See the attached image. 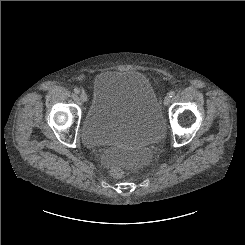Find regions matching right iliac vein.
Masks as SVG:
<instances>
[{
	"instance_id": "63e3f726",
	"label": "right iliac vein",
	"mask_w": 245,
	"mask_h": 245,
	"mask_svg": "<svg viewBox=\"0 0 245 245\" xmlns=\"http://www.w3.org/2000/svg\"><path fill=\"white\" fill-rule=\"evenodd\" d=\"M87 95L85 94V93H81L80 94V100L82 101V102H86L87 101Z\"/></svg>"
}]
</instances>
